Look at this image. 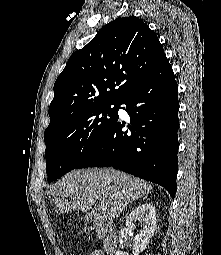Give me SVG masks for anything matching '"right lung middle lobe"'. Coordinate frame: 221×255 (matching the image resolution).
Instances as JSON below:
<instances>
[{"instance_id": "dd1d6c3e", "label": "right lung middle lobe", "mask_w": 221, "mask_h": 255, "mask_svg": "<svg viewBox=\"0 0 221 255\" xmlns=\"http://www.w3.org/2000/svg\"><path fill=\"white\" fill-rule=\"evenodd\" d=\"M118 109V102L95 104L79 110L56 127L45 131L48 182L76 168L115 123Z\"/></svg>"}]
</instances>
